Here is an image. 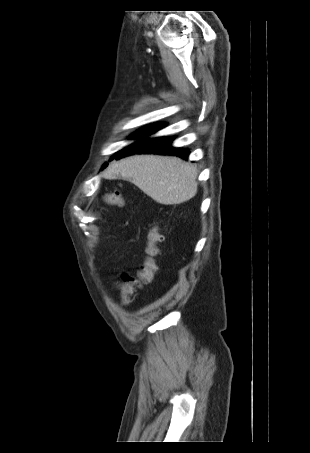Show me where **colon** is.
I'll use <instances>...</instances> for the list:
<instances>
[{
	"mask_svg": "<svg viewBox=\"0 0 310 453\" xmlns=\"http://www.w3.org/2000/svg\"><path fill=\"white\" fill-rule=\"evenodd\" d=\"M104 200L109 205L123 206L126 200L118 193H110L105 195ZM162 236L157 228H152L148 235V244L146 247V258L135 275L125 273L123 275V283L121 285L124 301L135 288L141 287L144 284L150 283L153 280L155 271L157 270L156 256L159 254L158 244L161 242Z\"/></svg>",
	"mask_w": 310,
	"mask_h": 453,
	"instance_id": "1",
	"label": "colon"
}]
</instances>
